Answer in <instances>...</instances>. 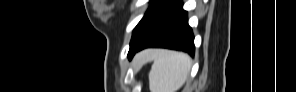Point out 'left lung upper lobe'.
<instances>
[{"mask_svg":"<svg viewBox=\"0 0 296 92\" xmlns=\"http://www.w3.org/2000/svg\"><path fill=\"white\" fill-rule=\"evenodd\" d=\"M170 0H151L147 12L133 30L130 49L137 45L151 30Z\"/></svg>","mask_w":296,"mask_h":92,"instance_id":"5c2ea615","label":"left lung upper lobe"}]
</instances>
